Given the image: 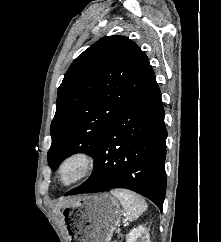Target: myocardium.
<instances>
[{"label":"myocardium","mask_w":221,"mask_h":242,"mask_svg":"<svg viewBox=\"0 0 221 242\" xmlns=\"http://www.w3.org/2000/svg\"><path fill=\"white\" fill-rule=\"evenodd\" d=\"M95 166L92 155L86 151H75L65 155L54 172L56 182L62 187H70L87 178Z\"/></svg>","instance_id":"1"}]
</instances>
